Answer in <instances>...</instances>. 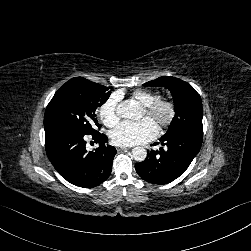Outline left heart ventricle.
Here are the masks:
<instances>
[{"instance_id":"1","label":"left heart ventricle","mask_w":251,"mask_h":251,"mask_svg":"<svg viewBox=\"0 0 251 251\" xmlns=\"http://www.w3.org/2000/svg\"><path fill=\"white\" fill-rule=\"evenodd\" d=\"M166 116H167V111H162V112L160 113V115H159L160 118H165ZM141 118H151V119H153L155 122H157V119H156L155 117L146 114L144 111H143V113H142Z\"/></svg>"}]
</instances>
